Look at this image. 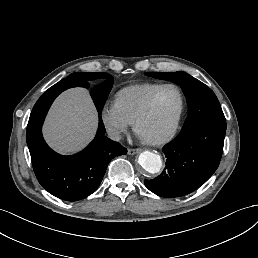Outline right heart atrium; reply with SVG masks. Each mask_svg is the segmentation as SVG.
<instances>
[{
    "mask_svg": "<svg viewBox=\"0 0 258 258\" xmlns=\"http://www.w3.org/2000/svg\"><path fill=\"white\" fill-rule=\"evenodd\" d=\"M101 120L106 129L113 134L123 133L129 126V122L114 103L104 107L101 113Z\"/></svg>",
    "mask_w": 258,
    "mask_h": 258,
    "instance_id": "obj_1",
    "label": "right heart atrium"
}]
</instances>
